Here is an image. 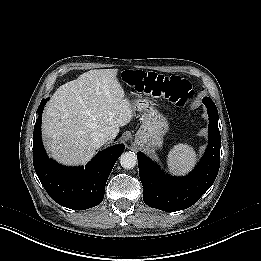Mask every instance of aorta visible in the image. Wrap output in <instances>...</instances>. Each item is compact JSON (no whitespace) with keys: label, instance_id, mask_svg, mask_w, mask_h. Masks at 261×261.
<instances>
[{"label":"aorta","instance_id":"obj_1","mask_svg":"<svg viewBox=\"0 0 261 261\" xmlns=\"http://www.w3.org/2000/svg\"><path fill=\"white\" fill-rule=\"evenodd\" d=\"M120 164L124 169H133L137 164V156L134 152H125L120 156Z\"/></svg>","mask_w":261,"mask_h":261}]
</instances>
